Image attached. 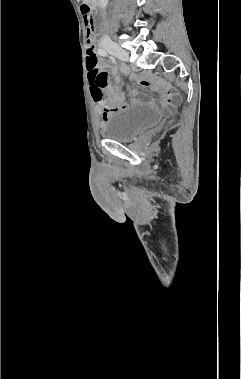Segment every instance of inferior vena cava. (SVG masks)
Segmentation results:
<instances>
[{
  "label": "inferior vena cava",
  "mask_w": 241,
  "mask_h": 379,
  "mask_svg": "<svg viewBox=\"0 0 241 379\" xmlns=\"http://www.w3.org/2000/svg\"><path fill=\"white\" fill-rule=\"evenodd\" d=\"M108 3V0H99V5L102 7V8H105L106 5Z\"/></svg>",
  "instance_id": "1"
}]
</instances>
